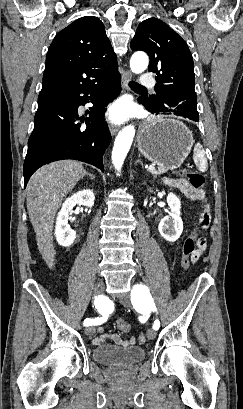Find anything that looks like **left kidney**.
<instances>
[{"label": "left kidney", "instance_id": "5707ae66", "mask_svg": "<svg viewBox=\"0 0 243 409\" xmlns=\"http://www.w3.org/2000/svg\"><path fill=\"white\" fill-rule=\"evenodd\" d=\"M167 203L171 213L160 221L158 229L164 239L169 242H175L183 231V222L180 216L181 202L176 195L169 193Z\"/></svg>", "mask_w": 243, "mask_h": 409}]
</instances>
